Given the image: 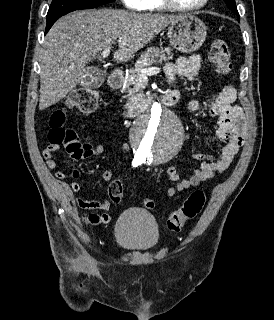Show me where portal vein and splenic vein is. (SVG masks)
Masks as SVG:
<instances>
[{
    "instance_id": "portal-vein-and-splenic-vein-1",
    "label": "portal vein and splenic vein",
    "mask_w": 274,
    "mask_h": 320,
    "mask_svg": "<svg viewBox=\"0 0 274 320\" xmlns=\"http://www.w3.org/2000/svg\"><path fill=\"white\" fill-rule=\"evenodd\" d=\"M110 50L111 48H105V50H103L101 56L102 58H108L109 54H110ZM155 70H160V68H144V70H137L138 72V76H140V78H147V76H149L150 72H155Z\"/></svg>"
}]
</instances>
